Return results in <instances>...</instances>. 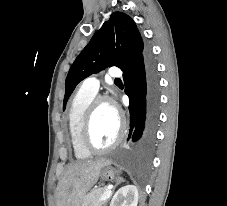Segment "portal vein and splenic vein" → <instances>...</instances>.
<instances>
[{
    "label": "portal vein and splenic vein",
    "mask_w": 227,
    "mask_h": 206,
    "mask_svg": "<svg viewBox=\"0 0 227 206\" xmlns=\"http://www.w3.org/2000/svg\"><path fill=\"white\" fill-rule=\"evenodd\" d=\"M112 192L111 189H108L99 199L100 201H104L106 199H108L111 196Z\"/></svg>",
    "instance_id": "18ae733b"
}]
</instances>
